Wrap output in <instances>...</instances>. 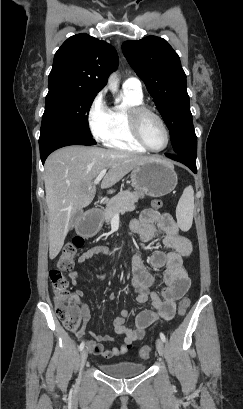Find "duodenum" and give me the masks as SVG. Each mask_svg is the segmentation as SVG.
<instances>
[{
    "label": "duodenum",
    "instance_id": "1",
    "mask_svg": "<svg viewBox=\"0 0 243 409\" xmlns=\"http://www.w3.org/2000/svg\"><path fill=\"white\" fill-rule=\"evenodd\" d=\"M93 211H94L95 213H98V214L101 213V212L99 211V209H97V208H94Z\"/></svg>",
    "mask_w": 243,
    "mask_h": 409
}]
</instances>
